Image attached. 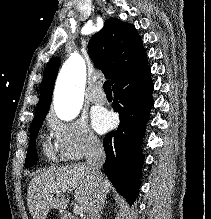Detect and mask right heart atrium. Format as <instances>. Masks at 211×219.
<instances>
[{
	"instance_id": "obj_1",
	"label": "right heart atrium",
	"mask_w": 211,
	"mask_h": 219,
	"mask_svg": "<svg viewBox=\"0 0 211 219\" xmlns=\"http://www.w3.org/2000/svg\"><path fill=\"white\" fill-rule=\"evenodd\" d=\"M47 126L54 147L64 160L77 161L102 149L101 141L83 119L63 121L49 115Z\"/></svg>"
}]
</instances>
